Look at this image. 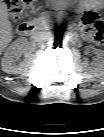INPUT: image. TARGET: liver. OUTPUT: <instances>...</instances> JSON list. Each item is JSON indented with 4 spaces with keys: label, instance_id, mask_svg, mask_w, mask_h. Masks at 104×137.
<instances>
[{
    "label": "liver",
    "instance_id": "1",
    "mask_svg": "<svg viewBox=\"0 0 104 137\" xmlns=\"http://www.w3.org/2000/svg\"><path fill=\"white\" fill-rule=\"evenodd\" d=\"M12 26L8 20V11L5 4L0 7V46L3 50L12 40Z\"/></svg>",
    "mask_w": 104,
    "mask_h": 137
}]
</instances>
